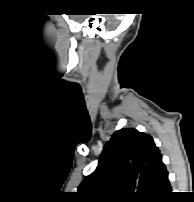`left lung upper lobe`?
I'll list each match as a JSON object with an SVG mask.
<instances>
[{
	"mask_svg": "<svg viewBox=\"0 0 194 202\" xmlns=\"http://www.w3.org/2000/svg\"><path fill=\"white\" fill-rule=\"evenodd\" d=\"M164 167L150 135L123 128L106 143L96 170L80 184L78 194L87 202L150 199Z\"/></svg>",
	"mask_w": 194,
	"mask_h": 202,
	"instance_id": "left-lung-upper-lobe-1",
	"label": "left lung upper lobe"
}]
</instances>
